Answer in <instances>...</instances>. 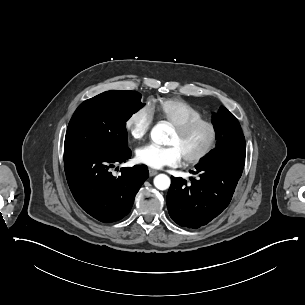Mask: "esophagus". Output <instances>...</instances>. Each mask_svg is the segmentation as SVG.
<instances>
[{
    "label": "esophagus",
    "instance_id": "1",
    "mask_svg": "<svg viewBox=\"0 0 305 305\" xmlns=\"http://www.w3.org/2000/svg\"><path fill=\"white\" fill-rule=\"evenodd\" d=\"M157 173H158V172H157L156 170L151 169V168L149 169V175H150L151 177L155 176Z\"/></svg>",
    "mask_w": 305,
    "mask_h": 305
}]
</instances>
